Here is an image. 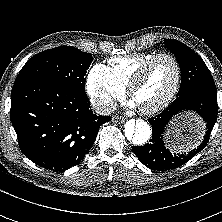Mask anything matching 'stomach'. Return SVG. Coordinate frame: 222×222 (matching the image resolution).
Instances as JSON below:
<instances>
[{"instance_id": "0dacf381", "label": "stomach", "mask_w": 222, "mask_h": 222, "mask_svg": "<svg viewBox=\"0 0 222 222\" xmlns=\"http://www.w3.org/2000/svg\"><path fill=\"white\" fill-rule=\"evenodd\" d=\"M202 123L195 116H186L170 127L167 140L169 147L177 151H188L196 147L202 135Z\"/></svg>"}]
</instances>
